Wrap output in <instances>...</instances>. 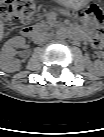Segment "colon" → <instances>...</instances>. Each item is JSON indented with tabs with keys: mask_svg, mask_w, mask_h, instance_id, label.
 <instances>
[{
	"mask_svg": "<svg viewBox=\"0 0 104 137\" xmlns=\"http://www.w3.org/2000/svg\"><path fill=\"white\" fill-rule=\"evenodd\" d=\"M0 10L2 15L10 22L25 25L31 22L35 3L33 0H1ZM81 18L93 22L96 25L92 37V44L95 47L103 45L104 29L103 14L99 7L90 6L81 12Z\"/></svg>",
	"mask_w": 104,
	"mask_h": 137,
	"instance_id": "obj_1",
	"label": "colon"
}]
</instances>
